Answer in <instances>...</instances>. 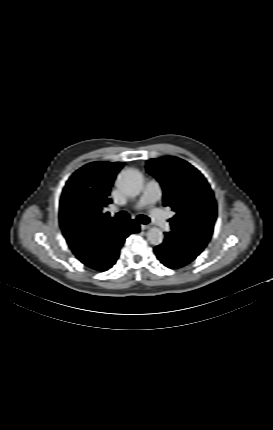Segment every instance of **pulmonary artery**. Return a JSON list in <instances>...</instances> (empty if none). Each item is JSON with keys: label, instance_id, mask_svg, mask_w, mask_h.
I'll list each match as a JSON object with an SVG mask.
<instances>
[{"label": "pulmonary artery", "instance_id": "e3ab8cb5", "mask_svg": "<svg viewBox=\"0 0 273 430\" xmlns=\"http://www.w3.org/2000/svg\"><path fill=\"white\" fill-rule=\"evenodd\" d=\"M161 198V189L159 184L151 180L147 183L144 192L135 205L136 208H149L151 218L154 220V222L163 230L169 231L170 225L167 221V218L164 214V212L154 207V204Z\"/></svg>", "mask_w": 273, "mask_h": 430}]
</instances>
